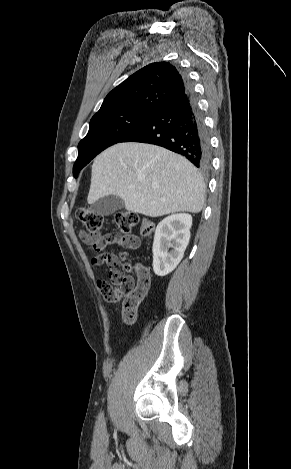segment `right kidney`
<instances>
[{"instance_id":"ca27d5eb","label":"right kidney","mask_w":291,"mask_h":469,"mask_svg":"<svg viewBox=\"0 0 291 469\" xmlns=\"http://www.w3.org/2000/svg\"><path fill=\"white\" fill-rule=\"evenodd\" d=\"M191 226V215L184 213L170 215L157 225L153 242V270L157 276L168 275L180 263ZM169 248L173 249L168 252Z\"/></svg>"}]
</instances>
